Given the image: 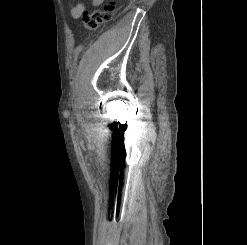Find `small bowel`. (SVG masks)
I'll return each mask as SVG.
<instances>
[{"label":"small bowel","mask_w":247,"mask_h":245,"mask_svg":"<svg viewBox=\"0 0 247 245\" xmlns=\"http://www.w3.org/2000/svg\"><path fill=\"white\" fill-rule=\"evenodd\" d=\"M104 0H92L94 6H99ZM85 13V6L83 3H76L71 9V16L74 19H79Z\"/></svg>","instance_id":"small-bowel-1"}]
</instances>
